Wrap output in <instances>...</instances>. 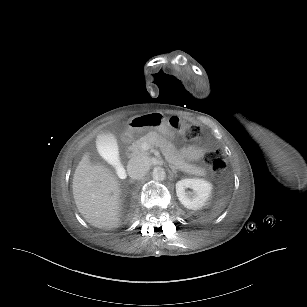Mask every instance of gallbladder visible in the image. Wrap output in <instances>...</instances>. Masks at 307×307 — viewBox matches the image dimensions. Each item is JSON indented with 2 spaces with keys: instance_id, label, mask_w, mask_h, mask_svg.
<instances>
[{
  "instance_id": "obj_1",
  "label": "gallbladder",
  "mask_w": 307,
  "mask_h": 307,
  "mask_svg": "<svg viewBox=\"0 0 307 307\" xmlns=\"http://www.w3.org/2000/svg\"><path fill=\"white\" fill-rule=\"evenodd\" d=\"M97 144L104 159L109 161V164L114 167L115 172L120 173V179H127L128 174L127 172L122 171L123 167L120 165V159L118 158L119 150L116 147L114 137L109 133H101L97 137Z\"/></svg>"
}]
</instances>
